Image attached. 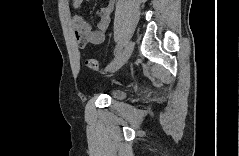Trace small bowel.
<instances>
[{
  "label": "small bowel",
  "mask_w": 239,
  "mask_h": 156,
  "mask_svg": "<svg viewBox=\"0 0 239 156\" xmlns=\"http://www.w3.org/2000/svg\"><path fill=\"white\" fill-rule=\"evenodd\" d=\"M84 7V0H74L72 2L74 14L71 18V24L73 27L75 41L81 47H84L88 44L94 46L99 45L105 40L114 2L110 0L99 8V21L96 30H93L91 25L81 15Z\"/></svg>",
  "instance_id": "1"
}]
</instances>
